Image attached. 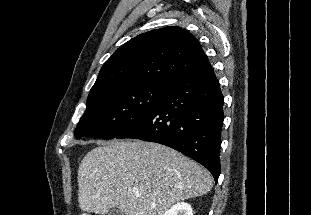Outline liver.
I'll list each match as a JSON object with an SVG mask.
<instances>
[{"label":"liver","mask_w":311,"mask_h":215,"mask_svg":"<svg viewBox=\"0 0 311 215\" xmlns=\"http://www.w3.org/2000/svg\"><path fill=\"white\" fill-rule=\"evenodd\" d=\"M212 185L206 169L176 150L113 140L82 159L78 201L82 211L99 215L115 207L125 215H163L175 203L207 194Z\"/></svg>","instance_id":"6515ba94"}]
</instances>
